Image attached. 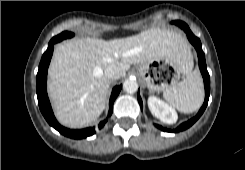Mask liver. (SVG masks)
I'll return each instance as SVG.
<instances>
[{
    "label": "liver",
    "instance_id": "6515ba94",
    "mask_svg": "<svg viewBox=\"0 0 245 170\" xmlns=\"http://www.w3.org/2000/svg\"><path fill=\"white\" fill-rule=\"evenodd\" d=\"M171 58L183 74L192 70V59L181 36L166 29H149L114 40L78 38L55 47L48 70L49 96L58 121L80 128L103 112L110 79L104 71L113 65L124 77L132 64Z\"/></svg>",
    "mask_w": 245,
    "mask_h": 170
}]
</instances>
